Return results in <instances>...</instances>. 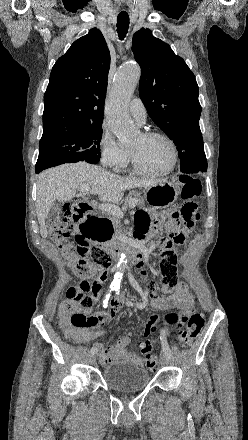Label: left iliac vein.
Segmentation results:
<instances>
[{
  "label": "left iliac vein",
  "instance_id": "4c4485c4",
  "mask_svg": "<svg viewBox=\"0 0 248 440\" xmlns=\"http://www.w3.org/2000/svg\"><path fill=\"white\" fill-rule=\"evenodd\" d=\"M169 362H170V358L166 354L161 355L160 363L162 366H167Z\"/></svg>",
  "mask_w": 248,
  "mask_h": 440
}]
</instances>
